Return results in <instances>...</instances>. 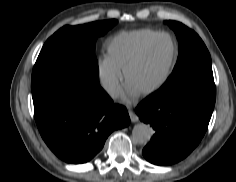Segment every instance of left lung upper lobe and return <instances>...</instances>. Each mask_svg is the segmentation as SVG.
<instances>
[{"label": "left lung upper lobe", "mask_w": 236, "mask_h": 182, "mask_svg": "<svg viewBox=\"0 0 236 182\" xmlns=\"http://www.w3.org/2000/svg\"><path fill=\"white\" fill-rule=\"evenodd\" d=\"M165 23L176 33L179 55L172 74L154 96L158 95L167 100L190 98L215 104L216 87L212 62L204 42L196 32L182 23Z\"/></svg>", "instance_id": "left-lung-upper-lobe-1"}]
</instances>
